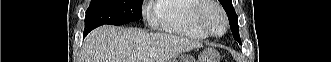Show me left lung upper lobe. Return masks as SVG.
Wrapping results in <instances>:
<instances>
[{"mask_svg":"<svg viewBox=\"0 0 331 62\" xmlns=\"http://www.w3.org/2000/svg\"><path fill=\"white\" fill-rule=\"evenodd\" d=\"M219 1L227 13L230 23V28L232 30L234 38H236V36L239 35L238 16L233 8L232 1L231 0H219Z\"/></svg>","mask_w":331,"mask_h":62,"instance_id":"1","label":"left lung upper lobe"}]
</instances>
